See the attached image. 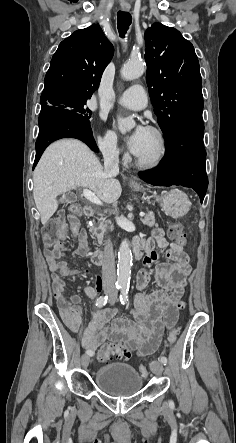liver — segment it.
<instances>
[{"label":"liver","instance_id":"obj_1","mask_svg":"<svg viewBox=\"0 0 236 443\" xmlns=\"http://www.w3.org/2000/svg\"><path fill=\"white\" fill-rule=\"evenodd\" d=\"M33 182L43 225L57 210V197L77 187L89 188L105 203L116 202L122 192L119 180L109 177L95 154L76 139L51 144L34 170Z\"/></svg>","mask_w":236,"mask_h":443}]
</instances>
